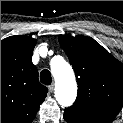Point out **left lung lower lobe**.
<instances>
[{"label":"left lung lower lobe","mask_w":123,"mask_h":123,"mask_svg":"<svg viewBox=\"0 0 123 123\" xmlns=\"http://www.w3.org/2000/svg\"><path fill=\"white\" fill-rule=\"evenodd\" d=\"M64 119L68 123H111L113 121V119L88 112L77 106L66 108Z\"/></svg>","instance_id":"0a47b994"}]
</instances>
